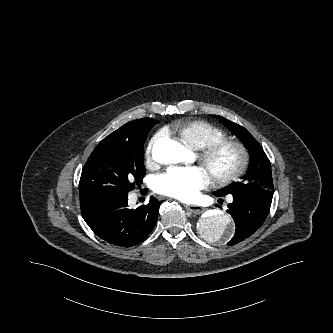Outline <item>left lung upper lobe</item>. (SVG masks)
Instances as JSON below:
<instances>
[{"label":"left lung upper lobe","instance_id":"5c2ea615","mask_svg":"<svg viewBox=\"0 0 333 333\" xmlns=\"http://www.w3.org/2000/svg\"><path fill=\"white\" fill-rule=\"evenodd\" d=\"M213 117L220 118L243 141L251 155L248 171L241 180L216 192L222 196L251 195L272 200L274 190L271 166L261 145L244 127L217 115Z\"/></svg>","mask_w":333,"mask_h":333}]
</instances>
